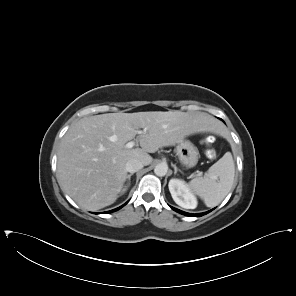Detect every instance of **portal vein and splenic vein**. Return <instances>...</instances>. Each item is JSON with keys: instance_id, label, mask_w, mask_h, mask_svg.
<instances>
[{"instance_id": "1", "label": "portal vein and splenic vein", "mask_w": 296, "mask_h": 296, "mask_svg": "<svg viewBox=\"0 0 296 296\" xmlns=\"http://www.w3.org/2000/svg\"><path fill=\"white\" fill-rule=\"evenodd\" d=\"M146 132V129H143L142 131H139L138 133L139 134H142V133H145ZM136 145V142L135 141H130V142H128L126 145H125V147L126 148H132L133 146H135Z\"/></svg>"}]
</instances>
